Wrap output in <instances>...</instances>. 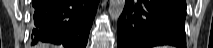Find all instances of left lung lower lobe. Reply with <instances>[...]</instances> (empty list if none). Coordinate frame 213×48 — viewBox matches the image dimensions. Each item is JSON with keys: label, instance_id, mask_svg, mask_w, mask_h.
<instances>
[{"label": "left lung lower lobe", "instance_id": "left-lung-lower-lobe-1", "mask_svg": "<svg viewBox=\"0 0 213 48\" xmlns=\"http://www.w3.org/2000/svg\"><path fill=\"white\" fill-rule=\"evenodd\" d=\"M185 0H126L118 20V48H186Z\"/></svg>", "mask_w": 213, "mask_h": 48}]
</instances>
